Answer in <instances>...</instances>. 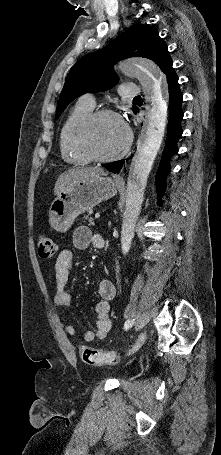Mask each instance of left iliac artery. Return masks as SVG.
I'll return each instance as SVG.
<instances>
[{"label": "left iliac artery", "mask_w": 221, "mask_h": 455, "mask_svg": "<svg viewBox=\"0 0 221 455\" xmlns=\"http://www.w3.org/2000/svg\"><path fill=\"white\" fill-rule=\"evenodd\" d=\"M133 324H134V319L126 321L125 324H124V329L128 330L129 328L132 327Z\"/></svg>", "instance_id": "left-iliac-artery-1"}]
</instances>
